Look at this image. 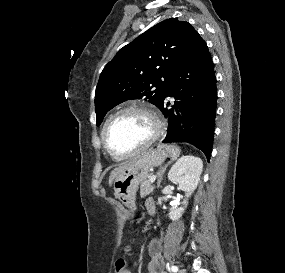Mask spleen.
Instances as JSON below:
<instances>
[{
    "label": "spleen",
    "instance_id": "obj_1",
    "mask_svg": "<svg viewBox=\"0 0 285 273\" xmlns=\"http://www.w3.org/2000/svg\"><path fill=\"white\" fill-rule=\"evenodd\" d=\"M167 152L170 154L172 160H176L180 154V149L174 145H165L164 146Z\"/></svg>",
    "mask_w": 285,
    "mask_h": 273
}]
</instances>
